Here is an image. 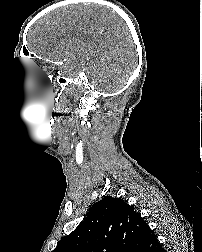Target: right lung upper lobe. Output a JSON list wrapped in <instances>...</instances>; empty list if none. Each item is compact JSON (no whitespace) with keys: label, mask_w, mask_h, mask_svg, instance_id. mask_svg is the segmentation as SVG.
<instances>
[{"label":"right lung upper lobe","mask_w":202,"mask_h":252,"mask_svg":"<svg viewBox=\"0 0 202 252\" xmlns=\"http://www.w3.org/2000/svg\"><path fill=\"white\" fill-rule=\"evenodd\" d=\"M159 246L134 207L109 196L96 202L84 221L52 252H156Z\"/></svg>","instance_id":"1"}]
</instances>
